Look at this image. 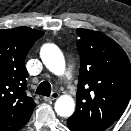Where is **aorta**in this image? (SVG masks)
I'll return each mask as SVG.
<instances>
[{
  "label": "aorta",
  "mask_w": 131,
  "mask_h": 131,
  "mask_svg": "<svg viewBox=\"0 0 131 131\" xmlns=\"http://www.w3.org/2000/svg\"><path fill=\"white\" fill-rule=\"evenodd\" d=\"M41 59L45 66L54 74L62 75L65 71V59L60 49L54 44H45L41 48ZM75 103L68 95L60 96L55 102V111L61 117L73 114Z\"/></svg>",
  "instance_id": "1"
}]
</instances>
